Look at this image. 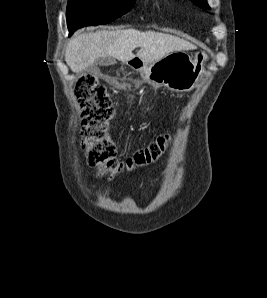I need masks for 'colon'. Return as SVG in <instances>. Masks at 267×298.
<instances>
[{
	"instance_id": "1",
	"label": "colon",
	"mask_w": 267,
	"mask_h": 298,
	"mask_svg": "<svg viewBox=\"0 0 267 298\" xmlns=\"http://www.w3.org/2000/svg\"><path fill=\"white\" fill-rule=\"evenodd\" d=\"M85 128L94 137L99 138L91 149V164L98 176L115 177L124 170H132L157 161L167 149L170 141L168 134L159 136L148 146L138 150L126 160H117L114 145L104 134V123L111 113L110 102L105 88L91 74L79 77L74 88Z\"/></svg>"
}]
</instances>
